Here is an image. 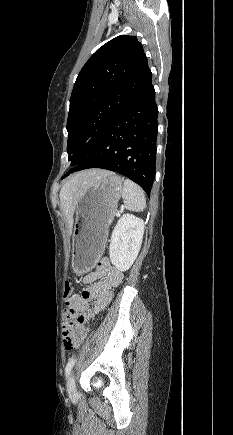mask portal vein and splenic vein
Here are the masks:
<instances>
[{"mask_svg":"<svg viewBox=\"0 0 233 435\" xmlns=\"http://www.w3.org/2000/svg\"><path fill=\"white\" fill-rule=\"evenodd\" d=\"M117 216H120V213L119 212H117V214H116Z\"/></svg>","mask_w":233,"mask_h":435,"instance_id":"portal-vein-and-splenic-vein-1","label":"portal vein and splenic vein"}]
</instances>
